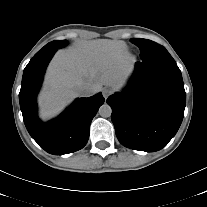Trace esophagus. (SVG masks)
Wrapping results in <instances>:
<instances>
[{"instance_id":"1","label":"esophagus","mask_w":207,"mask_h":207,"mask_svg":"<svg viewBox=\"0 0 207 207\" xmlns=\"http://www.w3.org/2000/svg\"><path fill=\"white\" fill-rule=\"evenodd\" d=\"M112 94V90L110 88H104L102 91V95L105 99H107Z\"/></svg>"}]
</instances>
